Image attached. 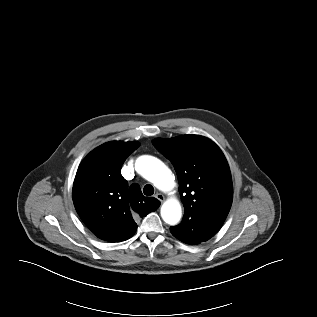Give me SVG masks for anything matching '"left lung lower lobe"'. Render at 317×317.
<instances>
[{
  "mask_svg": "<svg viewBox=\"0 0 317 317\" xmlns=\"http://www.w3.org/2000/svg\"><path fill=\"white\" fill-rule=\"evenodd\" d=\"M224 221L199 218L192 220L185 226L170 227V231L179 240L190 245L199 244L205 242L213 237L217 231L221 228Z\"/></svg>",
  "mask_w": 317,
  "mask_h": 317,
  "instance_id": "left-lung-lower-lobe-1",
  "label": "left lung lower lobe"
}]
</instances>
